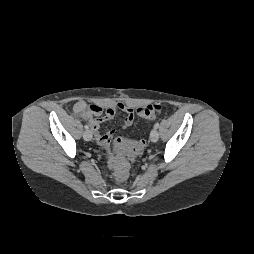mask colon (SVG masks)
<instances>
[{
    "label": "colon",
    "instance_id": "obj_1",
    "mask_svg": "<svg viewBox=\"0 0 254 254\" xmlns=\"http://www.w3.org/2000/svg\"><path fill=\"white\" fill-rule=\"evenodd\" d=\"M162 111V107L158 104H149L136 109V114L144 119H153L158 116ZM121 148L131 154H137L145 146L144 140L129 141V140H119ZM118 176L124 178L126 176L123 167L117 169Z\"/></svg>",
    "mask_w": 254,
    "mask_h": 254
}]
</instances>
